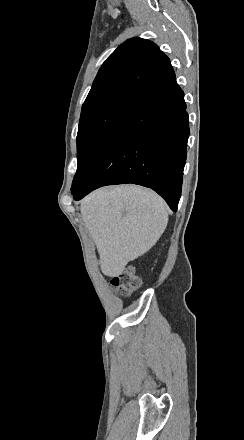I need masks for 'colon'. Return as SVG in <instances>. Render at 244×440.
Returning <instances> with one entry per match:
<instances>
[{"mask_svg":"<svg viewBox=\"0 0 244 440\" xmlns=\"http://www.w3.org/2000/svg\"><path fill=\"white\" fill-rule=\"evenodd\" d=\"M140 277L132 267L110 278L109 285L122 294H129L136 290L140 284Z\"/></svg>","mask_w":244,"mask_h":440,"instance_id":"obj_1","label":"colon"}]
</instances>
